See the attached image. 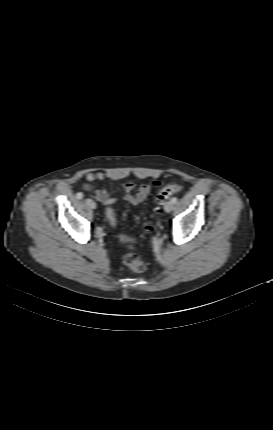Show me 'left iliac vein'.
<instances>
[{
    "label": "left iliac vein",
    "instance_id": "1",
    "mask_svg": "<svg viewBox=\"0 0 273 430\" xmlns=\"http://www.w3.org/2000/svg\"><path fill=\"white\" fill-rule=\"evenodd\" d=\"M173 208H174V204L171 201L167 202L164 206V209L166 212H171Z\"/></svg>",
    "mask_w": 273,
    "mask_h": 430
}]
</instances>
